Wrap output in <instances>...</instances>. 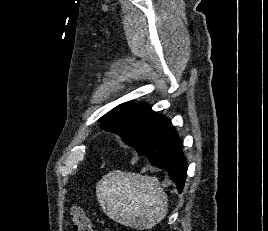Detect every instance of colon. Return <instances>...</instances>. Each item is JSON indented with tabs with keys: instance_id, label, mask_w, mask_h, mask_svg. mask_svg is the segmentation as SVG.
<instances>
[{
	"instance_id": "1",
	"label": "colon",
	"mask_w": 268,
	"mask_h": 231,
	"mask_svg": "<svg viewBox=\"0 0 268 231\" xmlns=\"http://www.w3.org/2000/svg\"><path fill=\"white\" fill-rule=\"evenodd\" d=\"M70 219L73 231H94L91 219L80 206L74 205L71 208Z\"/></svg>"
}]
</instances>
